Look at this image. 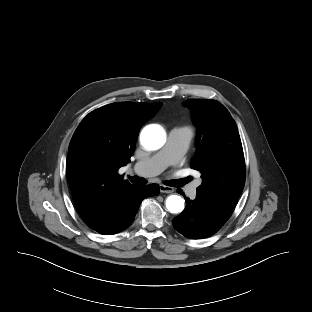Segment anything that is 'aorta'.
<instances>
[{
  "mask_svg": "<svg viewBox=\"0 0 312 312\" xmlns=\"http://www.w3.org/2000/svg\"><path fill=\"white\" fill-rule=\"evenodd\" d=\"M140 141L144 148L158 150L166 142V132L159 125H148L142 130ZM166 207L171 213H180L184 209V199L178 195H170L166 199Z\"/></svg>",
  "mask_w": 312,
  "mask_h": 312,
  "instance_id": "obj_1",
  "label": "aorta"
}]
</instances>
